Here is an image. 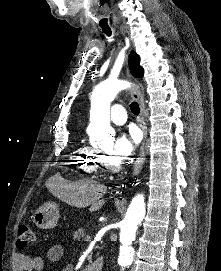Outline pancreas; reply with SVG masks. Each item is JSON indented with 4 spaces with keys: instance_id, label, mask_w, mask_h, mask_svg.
<instances>
[{
    "instance_id": "1",
    "label": "pancreas",
    "mask_w": 221,
    "mask_h": 271,
    "mask_svg": "<svg viewBox=\"0 0 221 271\" xmlns=\"http://www.w3.org/2000/svg\"><path fill=\"white\" fill-rule=\"evenodd\" d=\"M82 235H87V231L86 229H82V227H80V229H78V231H75V233H73V237L71 238L72 242H82ZM86 239H88V237H85V241Z\"/></svg>"
}]
</instances>
